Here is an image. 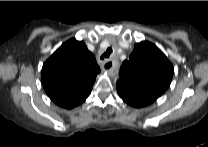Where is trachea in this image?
Here are the masks:
<instances>
[{"label": "trachea", "mask_w": 208, "mask_h": 147, "mask_svg": "<svg viewBox=\"0 0 208 147\" xmlns=\"http://www.w3.org/2000/svg\"><path fill=\"white\" fill-rule=\"evenodd\" d=\"M111 52H112V49L107 48L106 52L101 56V59L104 60L105 58H108Z\"/></svg>", "instance_id": "3493384b"}]
</instances>
